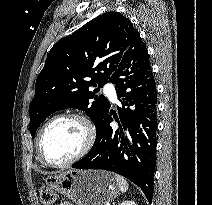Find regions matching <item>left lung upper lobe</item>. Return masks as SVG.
Returning a JSON list of instances; mask_svg holds the SVG:
<instances>
[{
    "mask_svg": "<svg viewBox=\"0 0 212 205\" xmlns=\"http://www.w3.org/2000/svg\"><path fill=\"white\" fill-rule=\"evenodd\" d=\"M138 34L128 18L118 12H107L59 40L36 80L35 96L29 107L32 137L47 116L70 107L85 111L97 127L110 103L104 96L96 95L98 89L89 91V87L108 83Z\"/></svg>",
    "mask_w": 212,
    "mask_h": 205,
    "instance_id": "obj_1",
    "label": "left lung upper lobe"
}]
</instances>
